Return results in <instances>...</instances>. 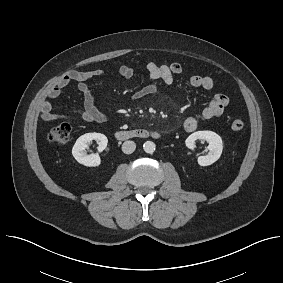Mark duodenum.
<instances>
[{"mask_svg":"<svg viewBox=\"0 0 283 283\" xmlns=\"http://www.w3.org/2000/svg\"><path fill=\"white\" fill-rule=\"evenodd\" d=\"M162 133L160 131H149L146 129H131V130H118L114 133V137L118 140H127L131 138H160Z\"/></svg>","mask_w":283,"mask_h":283,"instance_id":"410a0bca","label":"duodenum"}]
</instances>
